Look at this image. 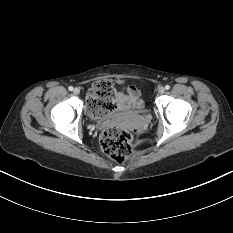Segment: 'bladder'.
<instances>
[{"mask_svg": "<svg viewBox=\"0 0 233 233\" xmlns=\"http://www.w3.org/2000/svg\"><path fill=\"white\" fill-rule=\"evenodd\" d=\"M136 111L139 113H146L147 109L144 107V105H141V106L136 108Z\"/></svg>", "mask_w": 233, "mask_h": 233, "instance_id": "1", "label": "bladder"}]
</instances>
